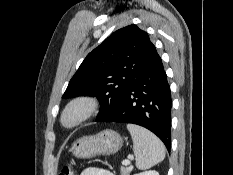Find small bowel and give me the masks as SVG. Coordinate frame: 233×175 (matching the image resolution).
Masks as SVG:
<instances>
[{
	"label": "small bowel",
	"instance_id": "c3829d8e",
	"mask_svg": "<svg viewBox=\"0 0 233 175\" xmlns=\"http://www.w3.org/2000/svg\"><path fill=\"white\" fill-rule=\"evenodd\" d=\"M81 175H115V174H113L112 172L106 169L90 167L84 169Z\"/></svg>",
	"mask_w": 233,
	"mask_h": 175
}]
</instances>
